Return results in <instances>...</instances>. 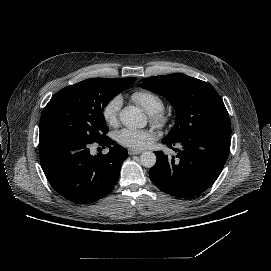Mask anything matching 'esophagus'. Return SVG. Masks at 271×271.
Returning a JSON list of instances; mask_svg holds the SVG:
<instances>
[{"instance_id":"34e87169","label":"esophagus","mask_w":271,"mask_h":271,"mask_svg":"<svg viewBox=\"0 0 271 271\" xmlns=\"http://www.w3.org/2000/svg\"><path fill=\"white\" fill-rule=\"evenodd\" d=\"M142 151L141 150H138V149H129L128 150V154L129 155H137V154H140Z\"/></svg>"}]
</instances>
